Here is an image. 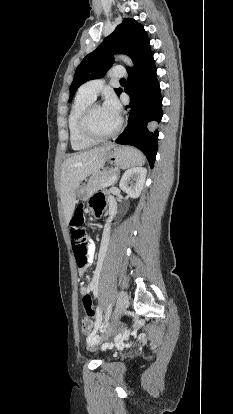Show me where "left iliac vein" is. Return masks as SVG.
<instances>
[{"mask_svg": "<svg viewBox=\"0 0 233 414\" xmlns=\"http://www.w3.org/2000/svg\"><path fill=\"white\" fill-rule=\"evenodd\" d=\"M127 305H128V295L126 292L121 291L117 298L116 307L113 313L112 324L108 327L107 331L102 337V340L108 338L112 334V332L114 331L115 327L117 326L119 322L120 317L125 312Z\"/></svg>", "mask_w": 233, "mask_h": 414, "instance_id": "4c4485c4", "label": "left iliac vein"}]
</instances>
